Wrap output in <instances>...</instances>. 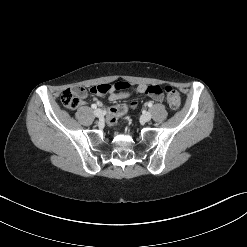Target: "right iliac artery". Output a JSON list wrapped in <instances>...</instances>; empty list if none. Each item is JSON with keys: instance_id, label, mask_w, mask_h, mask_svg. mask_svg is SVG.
<instances>
[{"instance_id": "82829eb1", "label": "right iliac artery", "mask_w": 247, "mask_h": 247, "mask_svg": "<svg viewBox=\"0 0 247 247\" xmlns=\"http://www.w3.org/2000/svg\"><path fill=\"white\" fill-rule=\"evenodd\" d=\"M91 107H92L93 109H96V108H97V105H96V104H92Z\"/></svg>"}]
</instances>
